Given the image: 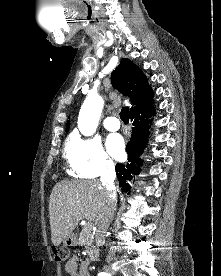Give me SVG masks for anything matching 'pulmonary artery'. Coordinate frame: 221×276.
<instances>
[{
    "label": "pulmonary artery",
    "instance_id": "e3ab8cb5",
    "mask_svg": "<svg viewBox=\"0 0 221 276\" xmlns=\"http://www.w3.org/2000/svg\"><path fill=\"white\" fill-rule=\"evenodd\" d=\"M103 124L109 131H116L120 128L119 120L116 117H107Z\"/></svg>",
    "mask_w": 221,
    "mask_h": 276
}]
</instances>
